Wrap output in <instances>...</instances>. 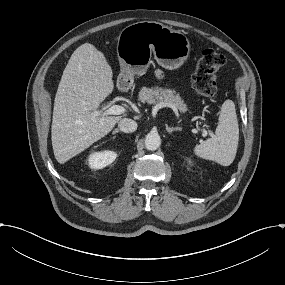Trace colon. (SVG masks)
I'll use <instances>...</instances> for the list:
<instances>
[{"mask_svg": "<svg viewBox=\"0 0 285 285\" xmlns=\"http://www.w3.org/2000/svg\"><path fill=\"white\" fill-rule=\"evenodd\" d=\"M225 57L213 49H205L197 61L192 84L195 92L213 99L218 94L216 72L225 64Z\"/></svg>", "mask_w": 285, "mask_h": 285, "instance_id": "1", "label": "colon"}]
</instances>
